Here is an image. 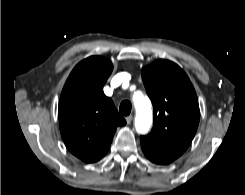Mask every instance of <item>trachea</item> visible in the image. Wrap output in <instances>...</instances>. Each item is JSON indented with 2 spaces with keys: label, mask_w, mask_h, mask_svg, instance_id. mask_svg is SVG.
I'll return each instance as SVG.
<instances>
[{
  "label": "trachea",
  "mask_w": 245,
  "mask_h": 195,
  "mask_svg": "<svg viewBox=\"0 0 245 195\" xmlns=\"http://www.w3.org/2000/svg\"><path fill=\"white\" fill-rule=\"evenodd\" d=\"M132 105L130 101L125 100L120 104L119 111L122 115L127 116L131 112Z\"/></svg>",
  "instance_id": "obj_1"
}]
</instances>
